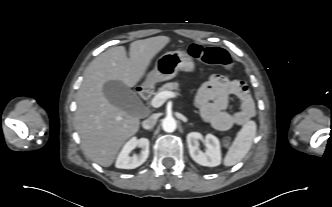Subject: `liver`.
<instances>
[{"instance_id":"6515ba94","label":"liver","mask_w":332,"mask_h":207,"mask_svg":"<svg viewBox=\"0 0 332 207\" xmlns=\"http://www.w3.org/2000/svg\"><path fill=\"white\" fill-rule=\"evenodd\" d=\"M166 36L137 40L130 44L128 58L124 46L112 47L94 59L84 71L77 93L75 128L83 151L103 167L114 162L122 145L139 130L140 119L112 105L103 93L107 81H121L134 87L145 75L152 59L168 43Z\"/></svg>"}]
</instances>
